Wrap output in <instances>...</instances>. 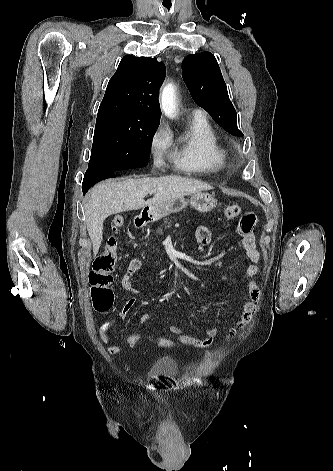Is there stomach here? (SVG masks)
Wrapping results in <instances>:
<instances>
[{
  "mask_svg": "<svg viewBox=\"0 0 333 471\" xmlns=\"http://www.w3.org/2000/svg\"><path fill=\"white\" fill-rule=\"evenodd\" d=\"M190 204L195 210L205 213L210 212L217 206V200L208 193H194L190 200L184 196L173 198L169 201L148 206L149 220L156 221L171 213L182 211Z\"/></svg>",
  "mask_w": 333,
  "mask_h": 471,
  "instance_id": "stomach-1",
  "label": "stomach"
}]
</instances>
